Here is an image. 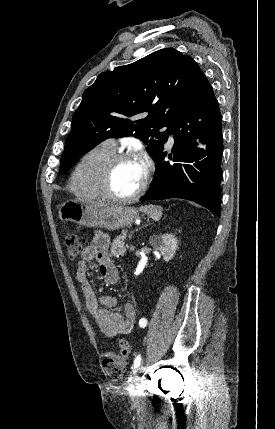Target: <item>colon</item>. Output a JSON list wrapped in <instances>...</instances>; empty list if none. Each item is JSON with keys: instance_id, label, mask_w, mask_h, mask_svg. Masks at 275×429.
<instances>
[{"instance_id": "1", "label": "colon", "mask_w": 275, "mask_h": 429, "mask_svg": "<svg viewBox=\"0 0 275 429\" xmlns=\"http://www.w3.org/2000/svg\"><path fill=\"white\" fill-rule=\"evenodd\" d=\"M65 246L68 257L75 259L82 251L84 240L77 234L68 233L65 236ZM129 355V345L127 341H119V353H106L102 360L103 370L108 377L117 380L125 372Z\"/></svg>"}]
</instances>
